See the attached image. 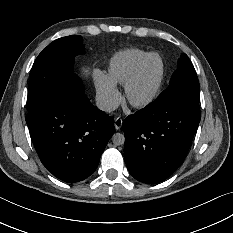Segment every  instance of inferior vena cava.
I'll use <instances>...</instances> for the list:
<instances>
[{
	"mask_svg": "<svg viewBox=\"0 0 233 233\" xmlns=\"http://www.w3.org/2000/svg\"><path fill=\"white\" fill-rule=\"evenodd\" d=\"M96 106L99 110H102L105 112H112L118 107V104L112 101L111 99L98 97L96 99Z\"/></svg>",
	"mask_w": 233,
	"mask_h": 233,
	"instance_id": "1",
	"label": "inferior vena cava"
}]
</instances>
